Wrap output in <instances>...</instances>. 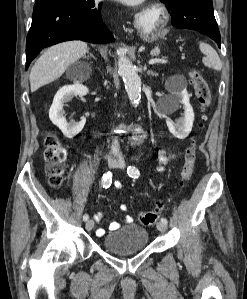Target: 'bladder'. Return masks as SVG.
I'll use <instances>...</instances> for the list:
<instances>
[{"instance_id":"bladder-1","label":"bladder","mask_w":247,"mask_h":299,"mask_svg":"<svg viewBox=\"0 0 247 299\" xmlns=\"http://www.w3.org/2000/svg\"><path fill=\"white\" fill-rule=\"evenodd\" d=\"M148 244V230L135 223L110 232L102 241V246L107 252L117 255H127L142 251Z\"/></svg>"}]
</instances>
